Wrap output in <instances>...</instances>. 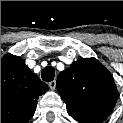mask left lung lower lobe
<instances>
[{"label": "left lung lower lobe", "instance_id": "obj_1", "mask_svg": "<svg viewBox=\"0 0 123 123\" xmlns=\"http://www.w3.org/2000/svg\"><path fill=\"white\" fill-rule=\"evenodd\" d=\"M83 123H93V122H89V121H82Z\"/></svg>", "mask_w": 123, "mask_h": 123}]
</instances>
